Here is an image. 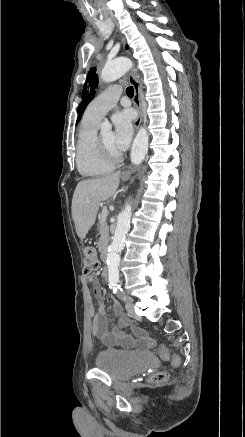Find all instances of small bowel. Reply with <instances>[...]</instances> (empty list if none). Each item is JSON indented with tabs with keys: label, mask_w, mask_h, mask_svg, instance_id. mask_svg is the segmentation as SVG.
Here are the masks:
<instances>
[{
	"label": "small bowel",
	"mask_w": 245,
	"mask_h": 437,
	"mask_svg": "<svg viewBox=\"0 0 245 437\" xmlns=\"http://www.w3.org/2000/svg\"><path fill=\"white\" fill-rule=\"evenodd\" d=\"M86 281L93 284L94 296L98 307L92 320V333L107 344H113L124 348L144 349L150 344V340L137 329L132 328L133 335L121 330L123 327L130 326L129 319L123 314L122 307L117 301H113V313L119 317L118 326H112L107 317V306L104 302V292L101 285L94 275L85 277Z\"/></svg>",
	"instance_id": "1"
}]
</instances>
